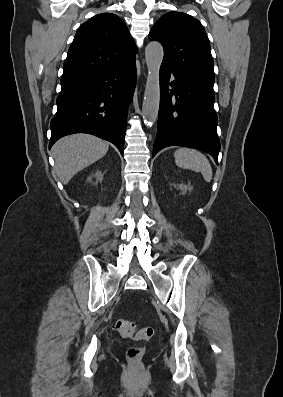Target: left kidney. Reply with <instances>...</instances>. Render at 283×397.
Listing matches in <instances>:
<instances>
[{"label":"left kidney","mask_w":283,"mask_h":397,"mask_svg":"<svg viewBox=\"0 0 283 397\" xmlns=\"http://www.w3.org/2000/svg\"><path fill=\"white\" fill-rule=\"evenodd\" d=\"M179 189L182 191V193L184 194L187 190H191L192 188L191 187H189V186H186V185H183V184H180L179 186Z\"/></svg>","instance_id":"5707ae66"}]
</instances>
